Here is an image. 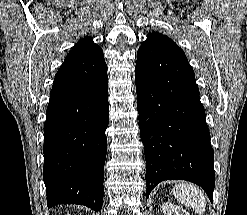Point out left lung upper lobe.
I'll list each match as a JSON object with an SVG mask.
<instances>
[{
	"instance_id": "1",
	"label": "left lung upper lobe",
	"mask_w": 247,
	"mask_h": 215,
	"mask_svg": "<svg viewBox=\"0 0 247 215\" xmlns=\"http://www.w3.org/2000/svg\"><path fill=\"white\" fill-rule=\"evenodd\" d=\"M147 39H158V40H162L165 42L174 43L170 38H168L167 36H164L158 32H153V33L148 34Z\"/></svg>"
}]
</instances>
